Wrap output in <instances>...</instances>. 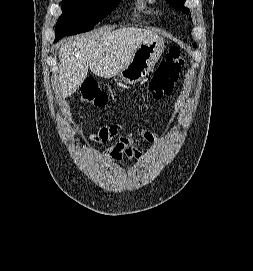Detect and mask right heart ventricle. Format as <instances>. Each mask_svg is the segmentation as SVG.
Segmentation results:
<instances>
[{
	"instance_id": "right-heart-ventricle-1",
	"label": "right heart ventricle",
	"mask_w": 253,
	"mask_h": 271,
	"mask_svg": "<svg viewBox=\"0 0 253 271\" xmlns=\"http://www.w3.org/2000/svg\"><path fill=\"white\" fill-rule=\"evenodd\" d=\"M140 1V3H144L145 2V0H139Z\"/></svg>"
}]
</instances>
